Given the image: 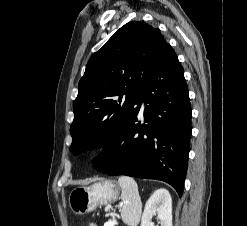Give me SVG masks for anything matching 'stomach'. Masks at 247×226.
<instances>
[{
    "mask_svg": "<svg viewBox=\"0 0 247 226\" xmlns=\"http://www.w3.org/2000/svg\"><path fill=\"white\" fill-rule=\"evenodd\" d=\"M120 188L112 180H101L88 187H76L69 195V206L73 213L84 215L97 207L115 202Z\"/></svg>",
    "mask_w": 247,
    "mask_h": 226,
    "instance_id": "1",
    "label": "stomach"
}]
</instances>
